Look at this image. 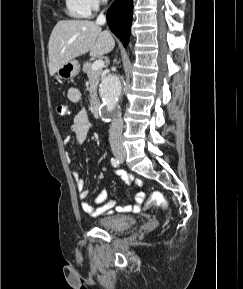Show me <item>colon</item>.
Returning a JSON list of instances; mask_svg holds the SVG:
<instances>
[{"label":"colon","instance_id":"5ec220e1","mask_svg":"<svg viewBox=\"0 0 243 289\" xmlns=\"http://www.w3.org/2000/svg\"><path fill=\"white\" fill-rule=\"evenodd\" d=\"M56 112L60 117H64L69 111L66 105L58 104L56 106ZM153 206L167 208V201L162 193L156 191L150 195L149 199L145 203V208H151Z\"/></svg>","mask_w":243,"mask_h":289}]
</instances>
